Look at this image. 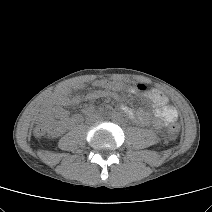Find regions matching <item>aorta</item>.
Segmentation results:
<instances>
[{
	"label": "aorta",
	"instance_id": "1",
	"mask_svg": "<svg viewBox=\"0 0 212 212\" xmlns=\"http://www.w3.org/2000/svg\"><path fill=\"white\" fill-rule=\"evenodd\" d=\"M111 119L116 124H121L125 120V115L121 111H116L112 114Z\"/></svg>",
	"mask_w": 212,
	"mask_h": 212
}]
</instances>
